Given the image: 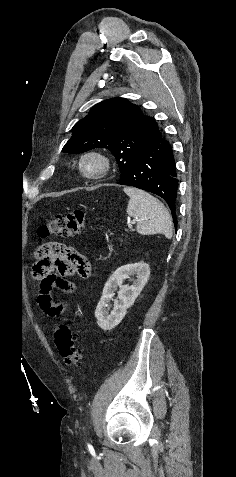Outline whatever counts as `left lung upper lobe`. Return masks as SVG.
<instances>
[{"label":"left lung upper lobe","instance_id":"1","mask_svg":"<svg viewBox=\"0 0 236 477\" xmlns=\"http://www.w3.org/2000/svg\"><path fill=\"white\" fill-rule=\"evenodd\" d=\"M72 131L62 152L77 154L106 148L117 160L121 180L135 156L154 138L158 125L152 117L143 115L137 105L116 97L96 104Z\"/></svg>","mask_w":236,"mask_h":477}]
</instances>
